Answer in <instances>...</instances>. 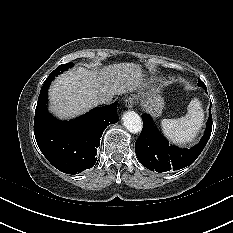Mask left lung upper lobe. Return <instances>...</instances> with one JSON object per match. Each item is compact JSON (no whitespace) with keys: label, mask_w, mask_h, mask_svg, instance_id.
Masks as SVG:
<instances>
[{"label":"left lung upper lobe","mask_w":233,"mask_h":233,"mask_svg":"<svg viewBox=\"0 0 233 233\" xmlns=\"http://www.w3.org/2000/svg\"><path fill=\"white\" fill-rule=\"evenodd\" d=\"M198 86L203 87V88L206 87L205 84L201 80H198Z\"/></svg>","instance_id":"obj_1"}]
</instances>
